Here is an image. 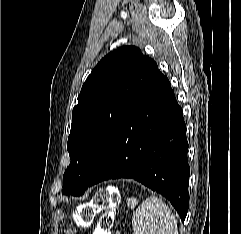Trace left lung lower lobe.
I'll return each instance as SVG.
<instances>
[{
    "label": "left lung lower lobe",
    "instance_id": "obj_1",
    "mask_svg": "<svg viewBox=\"0 0 241 234\" xmlns=\"http://www.w3.org/2000/svg\"><path fill=\"white\" fill-rule=\"evenodd\" d=\"M182 109L159 70L132 107L88 187L132 178L166 197L184 222L190 168Z\"/></svg>",
    "mask_w": 241,
    "mask_h": 234
}]
</instances>
